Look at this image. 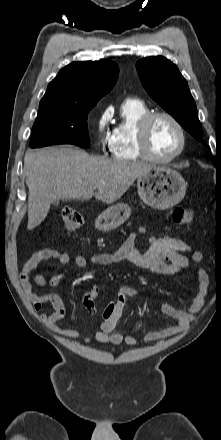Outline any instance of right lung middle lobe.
<instances>
[{
    "label": "right lung middle lobe",
    "mask_w": 221,
    "mask_h": 440,
    "mask_svg": "<svg viewBox=\"0 0 221 440\" xmlns=\"http://www.w3.org/2000/svg\"><path fill=\"white\" fill-rule=\"evenodd\" d=\"M92 104H66L55 101L40 102V110L33 126L30 147L53 144L90 146L87 117Z\"/></svg>",
    "instance_id": "obj_1"
}]
</instances>
